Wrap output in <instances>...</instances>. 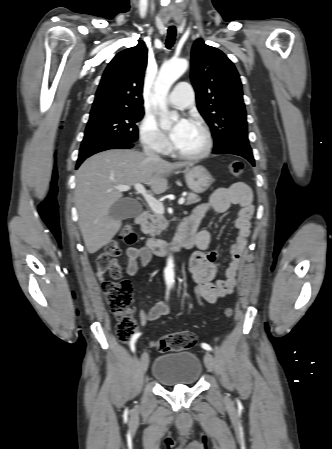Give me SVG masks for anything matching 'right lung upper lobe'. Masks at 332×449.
<instances>
[{"instance_id": "1", "label": "right lung upper lobe", "mask_w": 332, "mask_h": 449, "mask_svg": "<svg viewBox=\"0 0 332 449\" xmlns=\"http://www.w3.org/2000/svg\"><path fill=\"white\" fill-rule=\"evenodd\" d=\"M147 48L142 41L119 52L100 81L91 113L119 109H143V80Z\"/></svg>"}]
</instances>
